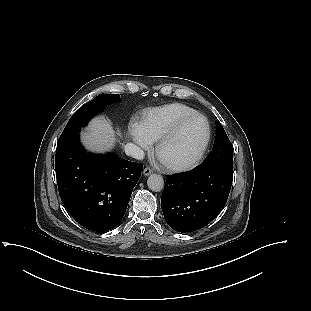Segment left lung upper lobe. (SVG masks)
<instances>
[{"label":"left lung upper lobe","mask_w":311,"mask_h":311,"mask_svg":"<svg viewBox=\"0 0 311 311\" xmlns=\"http://www.w3.org/2000/svg\"><path fill=\"white\" fill-rule=\"evenodd\" d=\"M203 164L233 165L232 144L219 122L216 123V138L213 149Z\"/></svg>","instance_id":"left-lung-upper-lobe-1"}]
</instances>
